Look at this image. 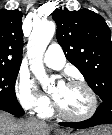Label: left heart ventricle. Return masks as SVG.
<instances>
[{
    "mask_svg": "<svg viewBox=\"0 0 112 135\" xmlns=\"http://www.w3.org/2000/svg\"><path fill=\"white\" fill-rule=\"evenodd\" d=\"M51 95L58 105L66 112L81 115L89 109V97L86 90L79 85L65 84L52 87Z\"/></svg>",
    "mask_w": 112,
    "mask_h": 135,
    "instance_id": "obj_1",
    "label": "left heart ventricle"
}]
</instances>
